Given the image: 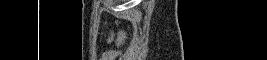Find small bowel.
<instances>
[{"label": "small bowel", "mask_w": 267, "mask_h": 60, "mask_svg": "<svg viewBox=\"0 0 267 60\" xmlns=\"http://www.w3.org/2000/svg\"><path fill=\"white\" fill-rule=\"evenodd\" d=\"M124 38H125L124 33H122V32L118 33L117 38H116L117 43H121ZM115 56H116V52L110 51L104 55V59L112 60Z\"/></svg>", "instance_id": "small-bowel-1"}]
</instances>
